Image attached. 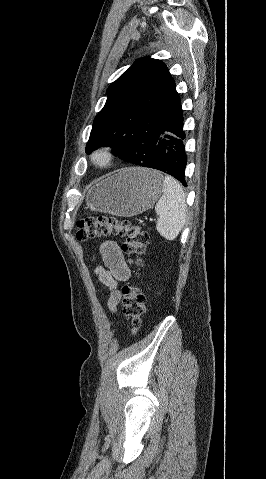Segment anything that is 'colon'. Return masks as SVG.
<instances>
[{
    "mask_svg": "<svg viewBox=\"0 0 266 479\" xmlns=\"http://www.w3.org/2000/svg\"><path fill=\"white\" fill-rule=\"evenodd\" d=\"M121 236L125 240L122 250L130 256V262L140 267V256L144 253L148 243V233L140 225L130 221H119L113 217H87L77 221L76 239L80 242L88 240ZM123 314L127 323L136 330L142 322L146 311V297L136 282H128L122 288Z\"/></svg>",
    "mask_w": 266,
    "mask_h": 479,
    "instance_id": "5ec220e1",
    "label": "colon"
}]
</instances>
